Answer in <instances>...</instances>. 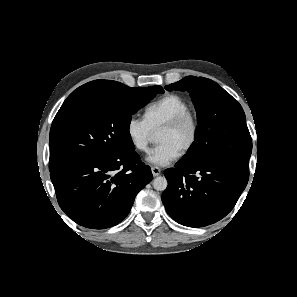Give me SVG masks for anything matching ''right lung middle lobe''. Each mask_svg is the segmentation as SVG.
Returning a JSON list of instances; mask_svg holds the SVG:
<instances>
[{"instance_id": "right-lung-middle-lobe-1", "label": "right lung middle lobe", "mask_w": 297, "mask_h": 297, "mask_svg": "<svg viewBox=\"0 0 297 297\" xmlns=\"http://www.w3.org/2000/svg\"><path fill=\"white\" fill-rule=\"evenodd\" d=\"M103 94L62 105L50 130V172L74 159L134 151L129 133L132 115L161 86L130 88L102 81Z\"/></svg>"}]
</instances>
